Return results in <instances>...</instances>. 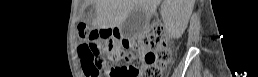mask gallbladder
Here are the masks:
<instances>
[{"label": "gallbladder", "mask_w": 258, "mask_h": 77, "mask_svg": "<svg viewBox=\"0 0 258 77\" xmlns=\"http://www.w3.org/2000/svg\"><path fill=\"white\" fill-rule=\"evenodd\" d=\"M148 22L147 14L140 8H135L121 26L123 37L133 38L139 34Z\"/></svg>", "instance_id": "obj_1"}]
</instances>
